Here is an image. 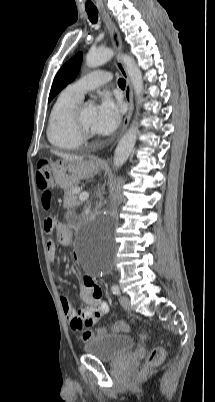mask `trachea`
<instances>
[{
  "instance_id": "trachea-1",
  "label": "trachea",
  "mask_w": 215,
  "mask_h": 402,
  "mask_svg": "<svg viewBox=\"0 0 215 402\" xmlns=\"http://www.w3.org/2000/svg\"><path fill=\"white\" fill-rule=\"evenodd\" d=\"M86 12L88 14L89 20L93 23L96 24L98 20V11L96 9H86ZM118 85L121 88H125L126 86V81L124 79H119L118 80Z\"/></svg>"
}]
</instances>
